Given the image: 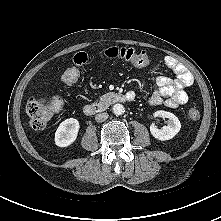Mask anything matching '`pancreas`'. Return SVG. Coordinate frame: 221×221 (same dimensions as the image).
<instances>
[{"mask_svg":"<svg viewBox=\"0 0 221 221\" xmlns=\"http://www.w3.org/2000/svg\"><path fill=\"white\" fill-rule=\"evenodd\" d=\"M114 97V93H107V94H104L100 97V101L102 103H107L109 100H111L112 98Z\"/></svg>","mask_w":221,"mask_h":221,"instance_id":"obj_1","label":"pancreas"}]
</instances>
